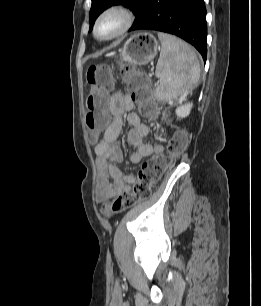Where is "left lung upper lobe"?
<instances>
[{"instance_id":"left-lung-upper-lobe-1","label":"left lung upper lobe","mask_w":261,"mask_h":306,"mask_svg":"<svg viewBox=\"0 0 261 306\" xmlns=\"http://www.w3.org/2000/svg\"><path fill=\"white\" fill-rule=\"evenodd\" d=\"M145 1L146 0H92L91 9L89 12L90 31L96 18L108 7L122 4L124 7H129L130 10L137 15Z\"/></svg>"}]
</instances>
